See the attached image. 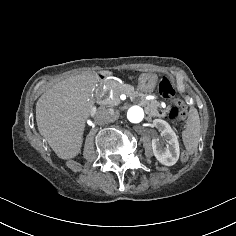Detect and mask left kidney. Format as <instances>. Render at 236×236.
<instances>
[{"instance_id":"left-kidney-1","label":"left kidney","mask_w":236,"mask_h":236,"mask_svg":"<svg viewBox=\"0 0 236 236\" xmlns=\"http://www.w3.org/2000/svg\"><path fill=\"white\" fill-rule=\"evenodd\" d=\"M153 126L161 132V135L166 142V145L164 146L159 139H152V149L155 157L164 165H174L180 155L179 142L175 132L170 125L162 119L153 120Z\"/></svg>"}]
</instances>
